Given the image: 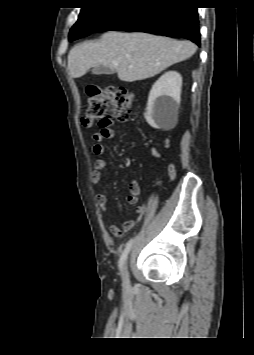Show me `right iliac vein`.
Segmentation results:
<instances>
[{"instance_id": "63e3f726", "label": "right iliac vein", "mask_w": 254, "mask_h": 355, "mask_svg": "<svg viewBox=\"0 0 254 355\" xmlns=\"http://www.w3.org/2000/svg\"><path fill=\"white\" fill-rule=\"evenodd\" d=\"M122 276H123V282H124V285H128L129 282H128V269H127V263L124 265L123 267V273H122Z\"/></svg>"}]
</instances>
